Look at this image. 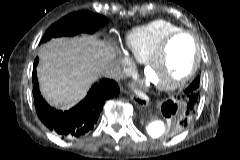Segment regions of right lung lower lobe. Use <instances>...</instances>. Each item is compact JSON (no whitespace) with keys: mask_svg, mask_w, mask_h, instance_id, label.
<instances>
[{"mask_svg":"<svg viewBox=\"0 0 240 160\" xmlns=\"http://www.w3.org/2000/svg\"><path fill=\"white\" fill-rule=\"evenodd\" d=\"M37 64L38 58L33 65V95L37 115L50 131L63 138H78L86 134L96 124L105 102L119 94L114 80L102 79L91 87L85 99L77 106L68 111L56 110L41 96L36 75Z\"/></svg>","mask_w":240,"mask_h":160,"instance_id":"1","label":"right lung lower lobe"}]
</instances>
